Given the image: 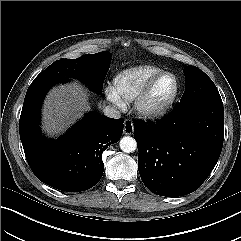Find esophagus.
Returning a JSON list of instances; mask_svg holds the SVG:
<instances>
[{"label":"esophagus","mask_w":241,"mask_h":241,"mask_svg":"<svg viewBox=\"0 0 241 241\" xmlns=\"http://www.w3.org/2000/svg\"><path fill=\"white\" fill-rule=\"evenodd\" d=\"M134 131L133 122L129 119L125 120L124 122V134L131 135Z\"/></svg>","instance_id":"obj_1"}]
</instances>
